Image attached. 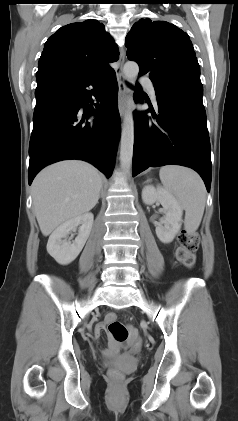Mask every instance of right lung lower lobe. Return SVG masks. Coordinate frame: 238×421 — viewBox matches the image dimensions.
<instances>
[{"instance_id":"98d812e1","label":"right lung lower lobe","mask_w":238,"mask_h":421,"mask_svg":"<svg viewBox=\"0 0 238 421\" xmlns=\"http://www.w3.org/2000/svg\"><path fill=\"white\" fill-rule=\"evenodd\" d=\"M117 93L114 70L88 78L37 80L29 184L42 168L65 159L85 160L111 176L121 127ZM91 115L96 117L88 121Z\"/></svg>"}]
</instances>
